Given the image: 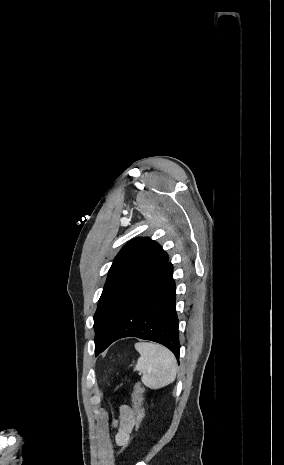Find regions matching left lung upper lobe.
<instances>
[{
    "label": "left lung upper lobe",
    "mask_w": 284,
    "mask_h": 465,
    "mask_svg": "<svg viewBox=\"0 0 284 465\" xmlns=\"http://www.w3.org/2000/svg\"><path fill=\"white\" fill-rule=\"evenodd\" d=\"M168 254L148 237L127 243L109 269L94 315L95 353L102 352L103 341L124 306L168 263Z\"/></svg>",
    "instance_id": "obj_1"
}]
</instances>
